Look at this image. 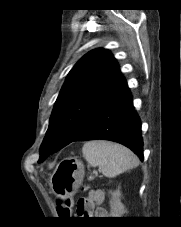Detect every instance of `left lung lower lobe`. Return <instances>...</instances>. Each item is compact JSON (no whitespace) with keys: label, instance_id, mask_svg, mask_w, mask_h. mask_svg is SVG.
<instances>
[{"label":"left lung lower lobe","instance_id":"1","mask_svg":"<svg viewBox=\"0 0 181 227\" xmlns=\"http://www.w3.org/2000/svg\"><path fill=\"white\" fill-rule=\"evenodd\" d=\"M96 139L123 144L143 160L141 122L134 110L126 81L95 110L74 141Z\"/></svg>","mask_w":181,"mask_h":227}]
</instances>
